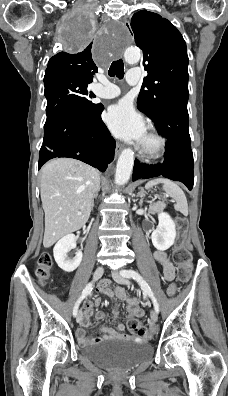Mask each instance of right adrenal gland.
<instances>
[{
  "mask_svg": "<svg viewBox=\"0 0 228 396\" xmlns=\"http://www.w3.org/2000/svg\"><path fill=\"white\" fill-rule=\"evenodd\" d=\"M99 191H100V187H99V189L97 190V192H96V193L94 194V196H93L91 209H93V207H94V199L97 198Z\"/></svg>",
  "mask_w": 228,
  "mask_h": 396,
  "instance_id": "right-adrenal-gland-1",
  "label": "right adrenal gland"
}]
</instances>
